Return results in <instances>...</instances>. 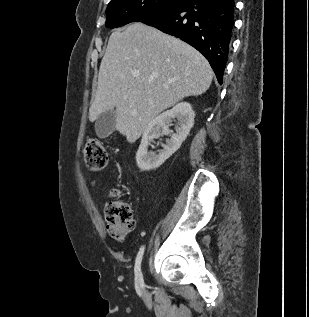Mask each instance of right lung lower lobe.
<instances>
[{
    "label": "right lung lower lobe",
    "instance_id": "98d812e1",
    "mask_svg": "<svg viewBox=\"0 0 309 317\" xmlns=\"http://www.w3.org/2000/svg\"><path fill=\"white\" fill-rule=\"evenodd\" d=\"M234 10V0H186L133 22L153 26L196 48L209 61L222 84L233 35Z\"/></svg>",
    "mask_w": 309,
    "mask_h": 317
}]
</instances>
